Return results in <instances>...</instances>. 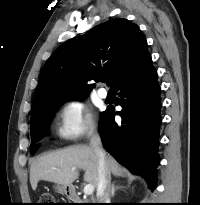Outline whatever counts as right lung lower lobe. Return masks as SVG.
Listing matches in <instances>:
<instances>
[{
	"instance_id": "98d812e1",
	"label": "right lung lower lobe",
	"mask_w": 200,
	"mask_h": 205,
	"mask_svg": "<svg viewBox=\"0 0 200 205\" xmlns=\"http://www.w3.org/2000/svg\"><path fill=\"white\" fill-rule=\"evenodd\" d=\"M118 98L115 112L102 113L99 133L104 148L132 173L143 176L153 190L158 164L159 126L161 124L160 86L150 59L147 64L113 88ZM121 123L115 122V115Z\"/></svg>"
}]
</instances>
